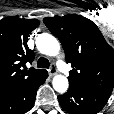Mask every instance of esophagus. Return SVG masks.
<instances>
[{
  "mask_svg": "<svg viewBox=\"0 0 114 114\" xmlns=\"http://www.w3.org/2000/svg\"><path fill=\"white\" fill-rule=\"evenodd\" d=\"M49 75L52 77L57 73L56 67L53 65L51 68L48 70Z\"/></svg>",
  "mask_w": 114,
  "mask_h": 114,
  "instance_id": "obj_1",
  "label": "esophagus"
}]
</instances>
